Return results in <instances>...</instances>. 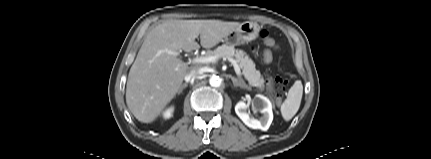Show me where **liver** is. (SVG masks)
Wrapping results in <instances>:
<instances>
[{
  "instance_id": "6515ba94",
  "label": "liver",
  "mask_w": 431,
  "mask_h": 159,
  "mask_svg": "<svg viewBox=\"0 0 431 159\" xmlns=\"http://www.w3.org/2000/svg\"><path fill=\"white\" fill-rule=\"evenodd\" d=\"M240 23L221 20H168L153 28L144 39L130 68L126 103L134 117L153 122L179 92L184 77L197 66H188L166 50L190 52L212 48Z\"/></svg>"
}]
</instances>
